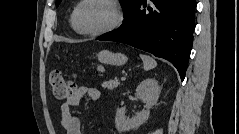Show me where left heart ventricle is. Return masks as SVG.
<instances>
[{
  "instance_id": "obj_1",
  "label": "left heart ventricle",
  "mask_w": 239,
  "mask_h": 134,
  "mask_svg": "<svg viewBox=\"0 0 239 134\" xmlns=\"http://www.w3.org/2000/svg\"><path fill=\"white\" fill-rule=\"evenodd\" d=\"M113 19L112 10L100 1H89L79 10L77 24L84 31H97L107 27Z\"/></svg>"
}]
</instances>
